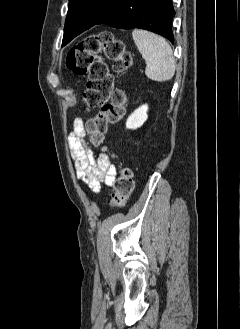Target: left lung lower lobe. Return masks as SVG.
Masks as SVG:
<instances>
[{
    "label": "left lung lower lobe",
    "mask_w": 240,
    "mask_h": 329,
    "mask_svg": "<svg viewBox=\"0 0 240 329\" xmlns=\"http://www.w3.org/2000/svg\"><path fill=\"white\" fill-rule=\"evenodd\" d=\"M172 0H120L97 24L120 29L141 28L155 32L173 43Z\"/></svg>",
    "instance_id": "0a47b994"
}]
</instances>
